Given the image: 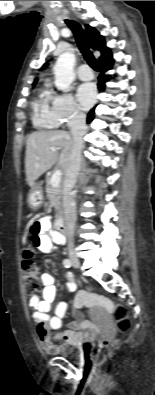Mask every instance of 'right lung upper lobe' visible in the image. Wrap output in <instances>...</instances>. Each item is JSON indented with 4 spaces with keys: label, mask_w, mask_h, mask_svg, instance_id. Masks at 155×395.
Masks as SVG:
<instances>
[{
    "label": "right lung upper lobe",
    "mask_w": 155,
    "mask_h": 395,
    "mask_svg": "<svg viewBox=\"0 0 155 395\" xmlns=\"http://www.w3.org/2000/svg\"><path fill=\"white\" fill-rule=\"evenodd\" d=\"M85 31L89 39L90 46L93 50H98L101 52V57L99 58V63L105 62L111 59V51L105 47V40L102 36L99 35L98 31L90 27L89 25H85ZM44 67L47 64L43 65ZM37 81V79H36Z\"/></svg>",
    "instance_id": "1"
}]
</instances>
